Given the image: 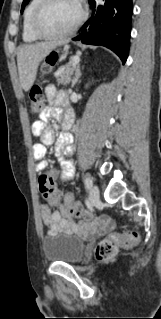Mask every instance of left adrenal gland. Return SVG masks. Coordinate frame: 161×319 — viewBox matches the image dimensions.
Segmentation results:
<instances>
[{
    "label": "left adrenal gland",
    "mask_w": 161,
    "mask_h": 319,
    "mask_svg": "<svg viewBox=\"0 0 161 319\" xmlns=\"http://www.w3.org/2000/svg\"><path fill=\"white\" fill-rule=\"evenodd\" d=\"M82 75L81 71H80V66L78 65L77 68H76V73H75V76L72 80V88L75 86V84L78 82L80 76Z\"/></svg>",
    "instance_id": "left-adrenal-gland-1"
}]
</instances>
